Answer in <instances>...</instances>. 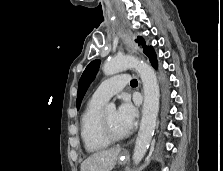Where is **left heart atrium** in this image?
I'll return each mask as SVG.
<instances>
[{
    "label": "left heart atrium",
    "mask_w": 223,
    "mask_h": 171,
    "mask_svg": "<svg viewBox=\"0 0 223 171\" xmlns=\"http://www.w3.org/2000/svg\"><path fill=\"white\" fill-rule=\"evenodd\" d=\"M137 111L128 99H123L116 111V119L119 126L128 133L135 125Z\"/></svg>",
    "instance_id": "1"
}]
</instances>
